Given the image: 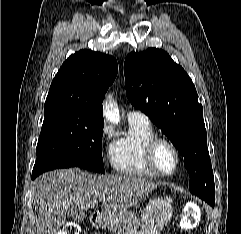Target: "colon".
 I'll use <instances>...</instances> for the list:
<instances>
[{
	"label": "colon",
	"mask_w": 241,
	"mask_h": 234,
	"mask_svg": "<svg viewBox=\"0 0 241 234\" xmlns=\"http://www.w3.org/2000/svg\"><path fill=\"white\" fill-rule=\"evenodd\" d=\"M200 219V210L196 205L188 206L182 213L181 227L187 234H190ZM62 234H79L78 226L75 223H67Z\"/></svg>",
	"instance_id": "colon-1"
}]
</instances>
